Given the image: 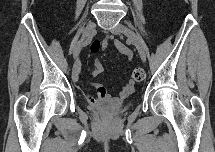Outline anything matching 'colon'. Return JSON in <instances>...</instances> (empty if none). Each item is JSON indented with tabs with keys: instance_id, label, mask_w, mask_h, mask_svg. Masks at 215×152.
Wrapping results in <instances>:
<instances>
[{
	"instance_id": "5ec220e1",
	"label": "colon",
	"mask_w": 215,
	"mask_h": 152,
	"mask_svg": "<svg viewBox=\"0 0 215 152\" xmlns=\"http://www.w3.org/2000/svg\"><path fill=\"white\" fill-rule=\"evenodd\" d=\"M99 47H100L99 43L95 42L91 45L90 49L92 52H97ZM132 78L135 82L139 83L143 81V79L145 78V73L142 69L137 68L133 71Z\"/></svg>"
}]
</instances>
